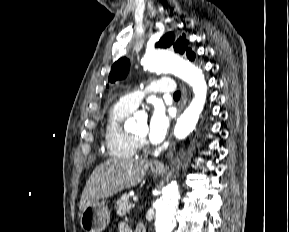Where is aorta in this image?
<instances>
[{
    "mask_svg": "<svg viewBox=\"0 0 289 232\" xmlns=\"http://www.w3.org/2000/svg\"><path fill=\"white\" fill-rule=\"evenodd\" d=\"M144 69L158 73H173L193 89L194 98L178 119L174 128L177 139H184L195 128L203 111L207 96V84L203 72L188 61L179 59L165 50H154L145 54L141 61ZM135 119L127 121V128L135 127ZM179 190L176 182L167 185L156 202V232H172L176 221L174 213L179 203Z\"/></svg>",
    "mask_w": 289,
    "mask_h": 232,
    "instance_id": "obj_1",
    "label": "aorta"
}]
</instances>
